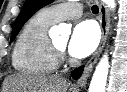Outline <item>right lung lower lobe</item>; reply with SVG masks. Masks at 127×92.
<instances>
[{
    "mask_svg": "<svg viewBox=\"0 0 127 92\" xmlns=\"http://www.w3.org/2000/svg\"><path fill=\"white\" fill-rule=\"evenodd\" d=\"M82 72H83V67L76 68V69L73 70V72H72V77H73L74 79H78V78L81 76Z\"/></svg>",
    "mask_w": 127,
    "mask_h": 92,
    "instance_id": "obj_1",
    "label": "right lung lower lobe"
}]
</instances>
